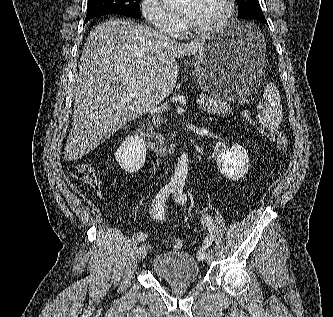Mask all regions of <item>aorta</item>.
<instances>
[{
  "label": "aorta",
  "instance_id": "762f6f07",
  "mask_svg": "<svg viewBox=\"0 0 333 317\" xmlns=\"http://www.w3.org/2000/svg\"><path fill=\"white\" fill-rule=\"evenodd\" d=\"M169 5H177L183 2V0H162ZM188 174V155L183 152L177 161V166L172 177V183L176 185H184Z\"/></svg>",
  "mask_w": 333,
  "mask_h": 317
}]
</instances>
